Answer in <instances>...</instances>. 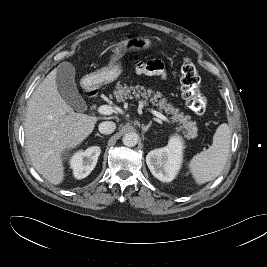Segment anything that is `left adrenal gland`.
<instances>
[{
	"label": "left adrenal gland",
	"instance_id": "a2214340",
	"mask_svg": "<svg viewBox=\"0 0 267 267\" xmlns=\"http://www.w3.org/2000/svg\"><path fill=\"white\" fill-rule=\"evenodd\" d=\"M142 131L143 132H147L148 130H149V128L151 127V122L148 124V125H146V126H144L143 124H142Z\"/></svg>",
	"mask_w": 267,
	"mask_h": 267
}]
</instances>
